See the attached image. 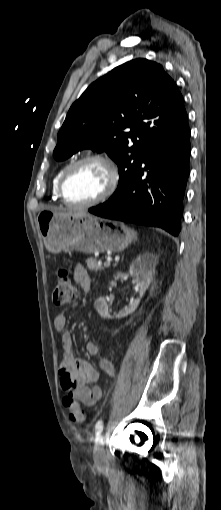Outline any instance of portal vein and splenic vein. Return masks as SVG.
Here are the masks:
<instances>
[{
	"mask_svg": "<svg viewBox=\"0 0 221 510\" xmlns=\"http://www.w3.org/2000/svg\"><path fill=\"white\" fill-rule=\"evenodd\" d=\"M98 263H99V264H101V262H98ZM110 264H111V259H107V260L105 261V263H104V266H105V267H109V266H110Z\"/></svg>",
	"mask_w": 221,
	"mask_h": 510,
	"instance_id": "portal-vein-and-splenic-vein-1",
	"label": "portal vein and splenic vein"
}]
</instances>
